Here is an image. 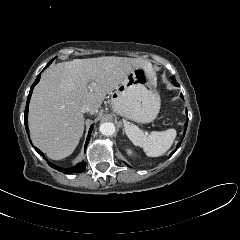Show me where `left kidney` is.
Instances as JSON below:
<instances>
[{
	"instance_id": "1",
	"label": "left kidney",
	"mask_w": 240,
	"mask_h": 240,
	"mask_svg": "<svg viewBox=\"0 0 240 240\" xmlns=\"http://www.w3.org/2000/svg\"><path fill=\"white\" fill-rule=\"evenodd\" d=\"M127 153H128L129 155H131V154H132V151H131L130 149H128V150H127Z\"/></svg>"
}]
</instances>
